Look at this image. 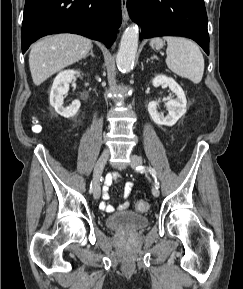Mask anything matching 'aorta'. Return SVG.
I'll return each mask as SVG.
<instances>
[{
    "label": "aorta",
    "mask_w": 243,
    "mask_h": 289,
    "mask_svg": "<svg viewBox=\"0 0 243 289\" xmlns=\"http://www.w3.org/2000/svg\"><path fill=\"white\" fill-rule=\"evenodd\" d=\"M139 29L137 25H131L124 31L119 51L116 56V64L120 71H130L133 67L138 48Z\"/></svg>",
    "instance_id": "762f6f07"
}]
</instances>
